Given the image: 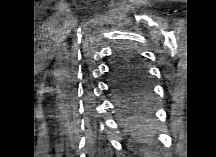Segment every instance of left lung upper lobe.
Here are the masks:
<instances>
[{
  "mask_svg": "<svg viewBox=\"0 0 216 157\" xmlns=\"http://www.w3.org/2000/svg\"><path fill=\"white\" fill-rule=\"evenodd\" d=\"M112 71L115 81L134 87L132 106L144 105L150 96L151 86L147 69L136 52L127 48L118 50Z\"/></svg>",
  "mask_w": 216,
  "mask_h": 157,
  "instance_id": "1",
  "label": "left lung upper lobe"
}]
</instances>
